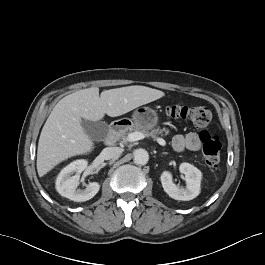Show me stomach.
I'll use <instances>...</instances> for the list:
<instances>
[{"mask_svg": "<svg viewBox=\"0 0 265 265\" xmlns=\"http://www.w3.org/2000/svg\"><path fill=\"white\" fill-rule=\"evenodd\" d=\"M123 121L130 126H137L141 129L150 130L157 125L158 115L152 108L140 107L133 112L132 119H124Z\"/></svg>", "mask_w": 265, "mask_h": 265, "instance_id": "stomach-1", "label": "stomach"}]
</instances>
